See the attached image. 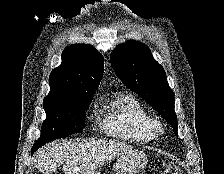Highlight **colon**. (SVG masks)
<instances>
[{"label": "colon", "instance_id": "5ec220e1", "mask_svg": "<svg viewBox=\"0 0 224 174\" xmlns=\"http://www.w3.org/2000/svg\"><path fill=\"white\" fill-rule=\"evenodd\" d=\"M161 174H181V170L176 164L168 161L164 164Z\"/></svg>", "mask_w": 224, "mask_h": 174}]
</instances>
